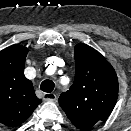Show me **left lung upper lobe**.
<instances>
[{"mask_svg":"<svg viewBox=\"0 0 131 131\" xmlns=\"http://www.w3.org/2000/svg\"><path fill=\"white\" fill-rule=\"evenodd\" d=\"M75 79L59 97L70 121L87 130L111 114L118 97V79L110 63L92 47L75 46Z\"/></svg>","mask_w":131,"mask_h":131,"instance_id":"obj_1","label":"left lung upper lobe"}]
</instances>
